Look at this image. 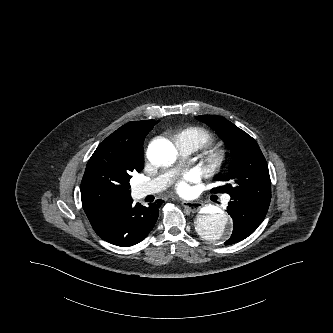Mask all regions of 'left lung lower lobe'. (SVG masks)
Returning <instances> with one entry per match:
<instances>
[{
    "label": "left lung lower lobe",
    "instance_id": "0a47b994",
    "mask_svg": "<svg viewBox=\"0 0 333 333\" xmlns=\"http://www.w3.org/2000/svg\"><path fill=\"white\" fill-rule=\"evenodd\" d=\"M268 208L254 202L232 199L227 212L233 219V233L225 245L237 243L251 235L264 220Z\"/></svg>",
    "mask_w": 333,
    "mask_h": 333
}]
</instances>
